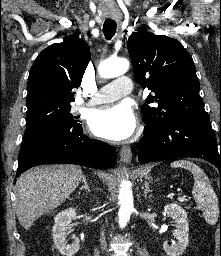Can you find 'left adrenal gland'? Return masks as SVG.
Returning a JSON list of instances; mask_svg holds the SVG:
<instances>
[{"instance_id":"left-adrenal-gland-1","label":"left adrenal gland","mask_w":221,"mask_h":256,"mask_svg":"<svg viewBox=\"0 0 221 256\" xmlns=\"http://www.w3.org/2000/svg\"><path fill=\"white\" fill-rule=\"evenodd\" d=\"M152 190L149 189V183L148 182H145V189H144V197L146 198L147 197V194L148 193H151Z\"/></svg>"}]
</instances>
